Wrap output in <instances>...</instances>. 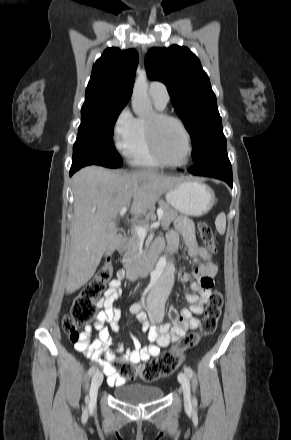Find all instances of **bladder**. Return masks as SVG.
Returning a JSON list of instances; mask_svg holds the SVG:
<instances>
[{
  "instance_id": "bladder-1",
  "label": "bladder",
  "mask_w": 291,
  "mask_h": 440,
  "mask_svg": "<svg viewBox=\"0 0 291 440\" xmlns=\"http://www.w3.org/2000/svg\"><path fill=\"white\" fill-rule=\"evenodd\" d=\"M113 395L125 403L146 404L161 399L164 390L156 385L132 384L115 388Z\"/></svg>"
}]
</instances>
